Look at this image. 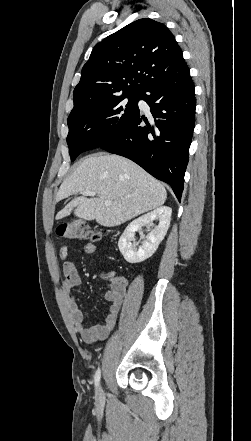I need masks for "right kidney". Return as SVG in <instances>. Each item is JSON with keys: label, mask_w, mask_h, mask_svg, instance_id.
Listing matches in <instances>:
<instances>
[{"label": "right kidney", "mask_w": 251, "mask_h": 441, "mask_svg": "<svg viewBox=\"0 0 251 441\" xmlns=\"http://www.w3.org/2000/svg\"><path fill=\"white\" fill-rule=\"evenodd\" d=\"M172 209L167 206L156 208L155 210L133 220L124 230L118 241V247L124 259L129 263H139L150 258L157 250L159 244L164 239L171 221ZM158 220L159 223L141 242H135V232L145 224ZM133 241V244H132Z\"/></svg>", "instance_id": "ca27d5eb"}]
</instances>
